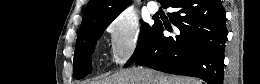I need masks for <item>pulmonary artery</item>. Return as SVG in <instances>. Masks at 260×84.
Segmentation results:
<instances>
[{
    "instance_id": "e3ab8cb5",
    "label": "pulmonary artery",
    "mask_w": 260,
    "mask_h": 84,
    "mask_svg": "<svg viewBox=\"0 0 260 84\" xmlns=\"http://www.w3.org/2000/svg\"><path fill=\"white\" fill-rule=\"evenodd\" d=\"M147 8L149 10L150 13L154 14L158 11L159 9V6L156 2L154 1H150L148 4H147Z\"/></svg>"
}]
</instances>
